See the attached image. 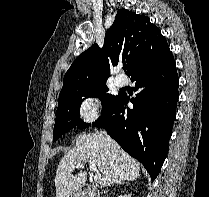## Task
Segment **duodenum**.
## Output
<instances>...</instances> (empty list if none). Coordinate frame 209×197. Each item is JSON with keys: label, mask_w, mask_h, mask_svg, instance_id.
<instances>
[{"label": "duodenum", "mask_w": 209, "mask_h": 197, "mask_svg": "<svg viewBox=\"0 0 209 197\" xmlns=\"http://www.w3.org/2000/svg\"><path fill=\"white\" fill-rule=\"evenodd\" d=\"M80 195L82 197H99L95 187L89 184H84L80 187Z\"/></svg>", "instance_id": "1"}]
</instances>
